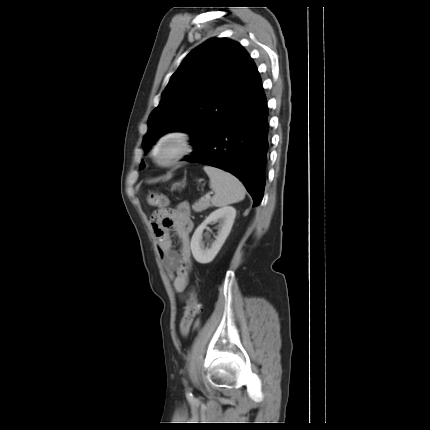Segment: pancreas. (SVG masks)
Here are the masks:
<instances>
[{
    "instance_id": "obj_1",
    "label": "pancreas",
    "mask_w": 430,
    "mask_h": 430,
    "mask_svg": "<svg viewBox=\"0 0 430 430\" xmlns=\"http://www.w3.org/2000/svg\"><path fill=\"white\" fill-rule=\"evenodd\" d=\"M209 207H210L209 198L208 199H201L192 205V208L195 212H202L203 210H206Z\"/></svg>"
}]
</instances>
